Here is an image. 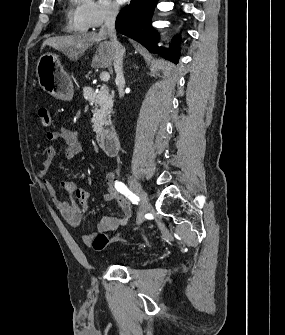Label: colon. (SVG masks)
<instances>
[{"mask_svg": "<svg viewBox=\"0 0 285 335\" xmlns=\"http://www.w3.org/2000/svg\"><path fill=\"white\" fill-rule=\"evenodd\" d=\"M38 117L41 125L43 127H49L51 125V114L46 107H40L38 109ZM122 239V234H108V233H98L94 236L91 246L96 251L104 250L112 242Z\"/></svg>", "mask_w": 285, "mask_h": 335, "instance_id": "1", "label": "colon"}]
</instances>
